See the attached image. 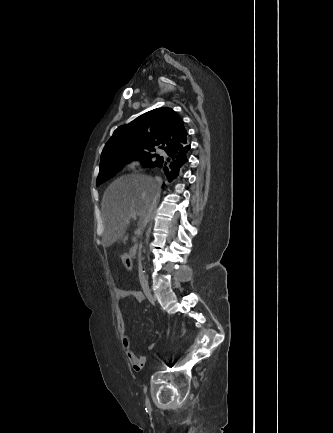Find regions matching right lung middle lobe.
I'll use <instances>...</instances> for the list:
<instances>
[{"label":"right lung middle lobe","mask_w":333,"mask_h":433,"mask_svg":"<svg viewBox=\"0 0 333 433\" xmlns=\"http://www.w3.org/2000/svg\"><path fill=\"white\" fill-rule=\"evenodd\" d=\"M153 151H155V149L128 150L102 159L100 161V172L97 178V185L113 177L120 170L119 167H123L132 160H138L144 166H155L162 157L152 154Z\"/></svg>","instance_id":"obj_1"}]
</instances>
